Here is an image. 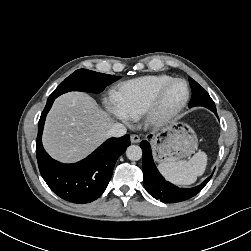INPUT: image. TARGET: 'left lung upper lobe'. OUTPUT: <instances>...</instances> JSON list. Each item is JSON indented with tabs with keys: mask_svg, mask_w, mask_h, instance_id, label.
<instances>
[{
	"mask_svg": "<svg viewBox=\"0 0 251 251\" xmlns=\"http://www.w3.org/2000/svg\"><path fill=\"white\" fill-rule=\"evenodd\" d=\"M189 83L192 89V98L189 106H204L210 110H216L215 103L209 96L208 92L192 78H189Z\"/></svg>",
	"mask_w": 251,
	"mask_h": 251,
	"instance_id": "1",
	"label": "left lung upper lobe"
}]
</instances>
